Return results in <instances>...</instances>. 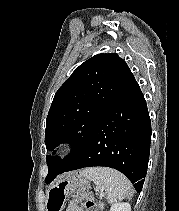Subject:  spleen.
Returning a JSON list of instances; mask_svg holds the SVG:
<instances>
[{
    "label": "spleen",
    "mask_w": 179,
    "mask_h": 211,
    "mask_svg": "<svg viewBox=\"0 0 179 211\" xmlns=\"http://www.w3.org/2000/svg\"><path fill=\"white\" fill-rule=\"evenodd\" d=\"M82 175L95 184L96 191L105 193L109 204H116L130 195V182L117 170L91 167L84 169Z\"/></svg>",
    "instance_id": "spleen-1"
}]
</instances>
